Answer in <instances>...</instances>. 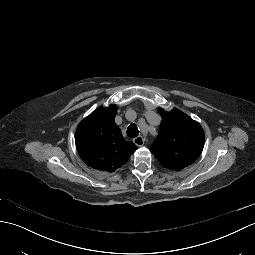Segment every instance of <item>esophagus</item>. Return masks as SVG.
Listing matches in <instances>:
<instances>
[{
  "label": "esophagus",
  "mask_w": 255,
  "mask_h": 255,
  "mask_svg": "<svg viewBox=\"0 0 255 255\" xmlns=\"http://www.w3.org/2000/svg\"><path fill=\"white\" fill-rule=\"evenodd\" d=\"M133 142L138 147H141L144 145V139L142 136H138V137L134 138Z\"/></svg>",
  "instance_id": "34e87169"
}]
</instances>
